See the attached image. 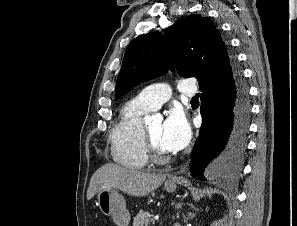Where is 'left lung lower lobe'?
<instances>
[{
	"label": "left lung lower lobe",
	"mask_w": 297,
	"mask_h": 226,
	"mask_svg": "<svg viewBox=\"0 0 297 226\" xmlns=\"http://www.w3.org/2000/svg\"><path fill=\"white\" fill-rule=\"evenodd\" d=\"M199 86L203 121L191 155L192 176L205 180L204 168L222 152L226 174L235 179L246 151L251 109L248 89L236 60L232 61V72L208 78L199 82Z\"/></svg>",
	"instance_id": "left-lung-lower-lobe-1"
}]
</instances>
